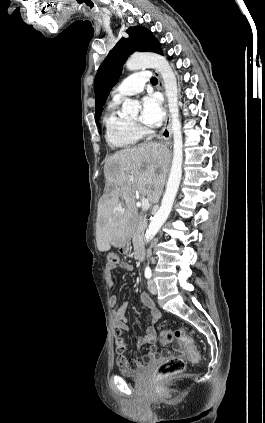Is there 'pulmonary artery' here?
I'll list each match as a JSON object with an SVG mask.
<instances>
[{"label": "pulmonary artery", "instance_id": "obj_1", "mask_svg": "<svg viewBox=\"0 0 265 423\" xmlns=\"http://www.w3.org/2000/svg\"><path fill=\"white\" fill-rule=\"evenodd\" d=\"M149 79L150 75L147 70H140L132 74L114 90L113 99L121 101L140 93Z\"/></svg>", "mask_w": 265, "mask_h": 423}]
</instances>
